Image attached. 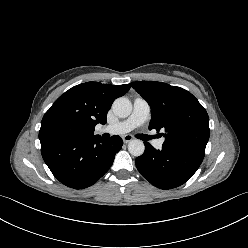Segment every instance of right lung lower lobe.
I'll return each mask as SVG.
<instances>
[{
  "label": "right lung lower lobe",
  "mask_w": 248,
  "mask_h": 248,
  "mask_svg": "<svg viewBox=\"0 0 248 248\" xmlns=\"http://www.w3.org/2000/svg\"><path fill=\"white\" fill-rule=\"evenodd\" d=\"M42 157L52 174L64 185L83 189L93 185L111 167L123 141L119 136L40 140Z\"/></svg>",
  "instance_id": "right-lung-lower-lobe-1"
}]
</instances>
